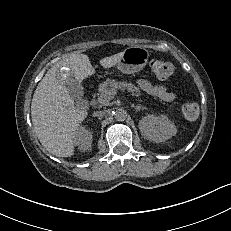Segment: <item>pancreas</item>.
I'll use <instances>...</instances> for the list:
<instances>
[{"label":"pancreas","instance_id":"1","mask_svg":"<svg viewBox=\"0 0 231 231\" xmlns=\"http://www.w3.org/2000/svg\"><path fill=\"white\" fill-rule=\"evenodd\" d=\"M127 90L132 94V96L139 97L140 96V89L133 85L132 83H127L125 81H116L107 79L105 82L99 85V98H106V100L101 104L102 106H108L109 101L112 96H109V93L113 90Z\"/></svg>","mask_w":231,"mask_h":231}]
</instances>
